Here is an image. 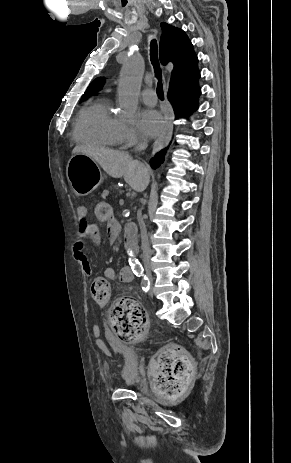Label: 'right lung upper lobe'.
<instances>
[{
	"label": "right lung upper lobe",
	"mask_w": 291,
	"mask_h": 463,
	"mask_svg": "<svg viewBox=\"0 0 291 463\" xmlns=\"http://www.w3.org/2000/svg\"><path fill=\"white\" fill-rule=\"evenodd\" d=\"M162 36L160 38L159 53L163 65L172 62L174 69L171 75L170 87L186 86L189 84L198 70V58L194 53L193 45L184 31L171 27L166 23L161 24ZM104 84V78L95 79L82 98H87Z\"/></svg>",
	"instance_id": "right-lung-upper-lobe-1"
}]
</instances>
